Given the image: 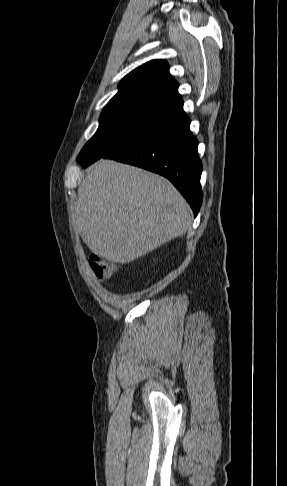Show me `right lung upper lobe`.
<instances>
[{
  "instance_id": "cb5924a9",
  "label": "right lung upper lobe",
  "mask_w": 287,
  "mask_h": 486,
  "mask_svg": "<svg viewBox=\"0 0 287 486\" xmlns=\"http://www.w3.org/2000/svg\"><path fill=\"white\" fill-rule=\"evenodd\" d=\"M178 82L170 75L165 60H151L126 75L118 93L106 106L148 105L176 112L183 109Z\"/></svg>"
}]
</instances>
